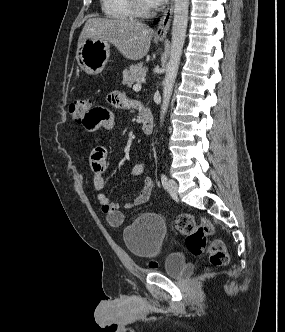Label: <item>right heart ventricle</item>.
Returning a JSON list of instances; mask_svg holds the SVG:
<instances>
[{"mask_svg": "<svg viewBox=\"0 0 285 332\" xmlns=\"http://www.w3.org/2000/svg\"><path fill=\"white\" fill-rule=\"evenodd\" d=\"M103 14L112 20H132L135 14L131 0H100Z\"/></svg>", "mask_w": 285, "mask_h": 332, "instance_id": "right-heart-ventricle-1", "label": "right heart ventricle"}]
</instances>
